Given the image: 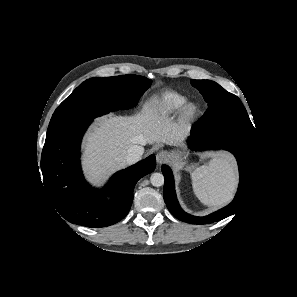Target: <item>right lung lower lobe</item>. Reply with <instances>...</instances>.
I'll return each mask as SVG.
<instances>
[{
	"label": "right lung lower lobe",
	"instance_id": "1",
	"mask_svg": "<svg viewBox=\"0 0 297 297\" xmlns=\"http://www.w3.org/2000/svg\"><path fill=\"white\" fill-rule=\"evenodd\" d=\"M91 121L45 142L41 156L43 184L56 210L69 222L106 227L129 212L137 181L154 171L155 156L117 172L103 191L85 181L80 167V143ZM111 196L107 200L106 196Z\"/></svg>",
	"mask_w": 297,
	"mask_h": 297
}]
</instances>
